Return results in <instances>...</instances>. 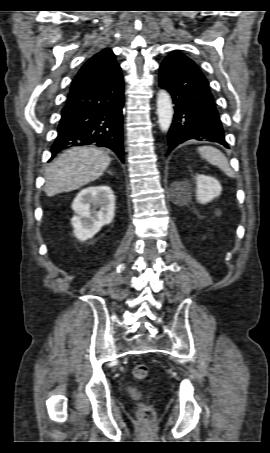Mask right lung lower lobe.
<instances>
[{
  "label": "right lung lower lobe",
  "mask_w": 270,
  "mask_h": 453,
  "mask_svg": "<svg viewBox=\"0 0 270 453\" xmlns=\"http://www.w3.org/2000/svg\"><path fill=\"white\" fill-rule=\"evenodd\" d=\"M123 78L120 69L102 83L70 91L62 110L52 157L72 146L94 144L123 159Z\"/></svg>",
  "instance_id": "98d812e1"
}]
</instances>
